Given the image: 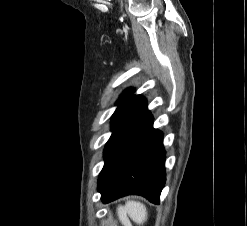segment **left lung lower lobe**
I'll use <instances>...</instances> for the list:
<instances>
[{
    "instance_id": "1",
    "label": "left lung lower lobe",
    "mask_w": 247,
    "mask_h": 226,
    "mask_svg": "<svg viewBox=\"0 0 247 226\" xmlns=\"http://www.w3.org/2000/svg\"><path fill=\"white\" fill-rule=\"evenodd\" d=\"M113 134L105 146L98 178L104 203L128 194L157 204L165 185L162 133L153 128L146 99L132 94L112 118Z\"/></svg>"
}]
</instances>
